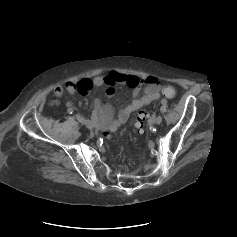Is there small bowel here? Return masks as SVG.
<instances>
[{
    "label": "small bowel",
    "instance_id": "1",
    "mask_svg": "<svg viewBox=\"0 0 237 237\" xmlns=\"http://www.w3.org/2000/svg\"><path fill=\"white\" fill-rule=\"evenodd\" d=\"M118 84L127 85L132 88L133 98L119 110L117 116L113 117L112 107L99 99L94 101L92 112V117L99 126L116 131L132 112L149 105L160 97L161 83L158 78L150 76L140 79L132 75L110 72L104 77L83 79L78 82L58 85L55 87L54 93L57 96H62L66 92L87 95L94 90H102L110 96L114 94V87ZM142 90L143 93L141 94Z\"/></svg>",
    "mask_w": 237,
    "mask_h": 237
}]
</instances>
